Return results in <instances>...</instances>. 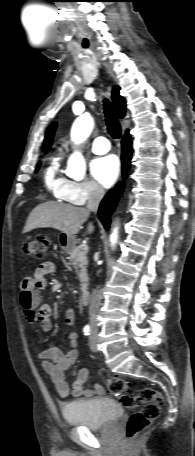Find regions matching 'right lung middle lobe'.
<instances>
[{"instance_id":"obj_1","label":"right lung middle lobe","mask_w":195,"mask_h":456,"mask_svg":"<svg viewBox=\"0 0 195 456\" xmlns=\"http://www.w3.org/2000/svg\"><path fill=\"white\" fill-rule=\"evenodd\" d=\"M39 167H40V163H38V165H37V167H36V170H38V169H39Z\"/></svg>"}]
</instances>
